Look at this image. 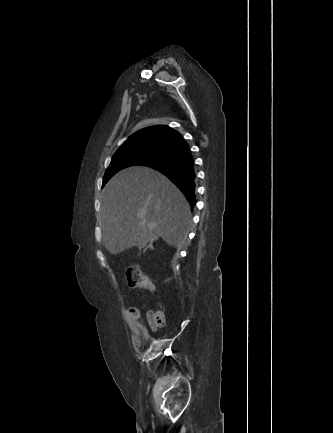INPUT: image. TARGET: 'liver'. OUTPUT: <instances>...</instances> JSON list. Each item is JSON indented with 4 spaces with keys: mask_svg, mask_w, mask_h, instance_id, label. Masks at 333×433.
I'll use <instances>...</instances> for the list:
<instances>
[{
    "mask_svg": "<svg viewBox=\"0 0 333 433\" xmlns=\"http://www.w3.org/2000/svg\"><path fill=\"white\" fill-rule=\"evenodd\" d=\"M99 225L105 248L116 255L162 238L180 246L191 222L190 206L160 172L143 166L121 170L102 190Z\"/></svg>",
    "mask_w": 333,
    "mask_h": 433,
    "instance_id": "liver-1",
    "label": "liver"
}]
</instances>
